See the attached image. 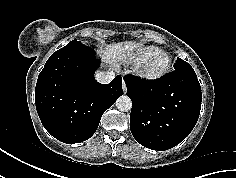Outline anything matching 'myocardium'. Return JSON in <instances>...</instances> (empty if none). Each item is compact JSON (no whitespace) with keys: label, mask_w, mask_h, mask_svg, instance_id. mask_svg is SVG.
<instances>
[{"label":"myocardium","mask_w":236,"mask_h":178,"mask_svg":"<svg viewBox=\"0 0 236 178\" xmlns=\"http://www.w3.org/2000/svg\"><path fill=\"white\" fill-rule=\"evenodd\" d=\"M167 58V65L160 71L153 70L154 62L160 58ZM172 60L169 54L161 52L137 65V75L148 82H154L165 77L171 69Z\"/></svg>","instance_id":"f54148a6"}]
</instances>
